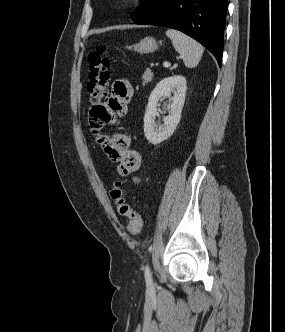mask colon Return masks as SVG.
Here are the masks:
<instances>
[{
  "mask_svg": "<svg viewBox=\"0 0 285 332\" xmlns=\"http://www.w3.org/2000/svg\"><path fill=\"white\" fill-rule=\"evenodd\" d=\"M89 80L87 92L92 106L98 105L107 95L110 80L109 68L111 57L105 45H98L88 56ZM110 198L114 202L118 213L127 219V231L136 236L140 233L143 225L141 215L126 201L122 189V183L114 178L110 188Z\"/></svg>",
  "mask_w": 285,
  "mask_h": 332,
  "instance_id": "5ec220e1",
  "label": "colon"
}]
</instances>
